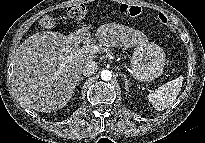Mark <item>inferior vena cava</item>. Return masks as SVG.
I'll use <instances>...</instances> for the list:
<instances>
[{
    "mask_svg": "<svg viewBox=\"0 0 205 143\" xmlns=\"http://www.w3.org/2000/svg\"><path fill=\"white\" fill-rule=\"evenodd\" d=\"M97 68H98L97 62L89 61L83 66L82 73L84 76L89 77L96 72Z\"/></svg>",
    "mask_w": 205,
    "mask_h": 143,
    "instance_id": "inferior-vena-cava-1",
    "label": "inferior vena cava"
}]
</instances>
